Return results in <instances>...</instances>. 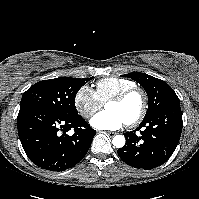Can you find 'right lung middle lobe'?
Listing matches in <instances>:
<instances>
[{
  "mask_svg": "<svg viewBox=\"0 0 199 199\" xmlns=\"http://www.w3.org/2000/svg\"><path fill=\"white\" fill-rule=\"evenodd\" d=\"M92 78L62 77L40 81L24 92L20 110L39 108L64 117L76 116L75 96Z\"/></svg>",
  "mask_w": 199,
  "mask_h": 199,
  "instance_id": "dd1d6c3e",
  "label": "right lung middle lobe"
}]
</instances>
